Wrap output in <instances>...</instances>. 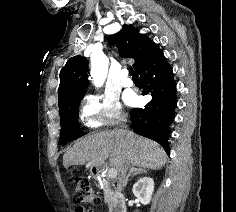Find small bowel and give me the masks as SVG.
I'll return each mask as SVG.
<instances>
[{
	"mask_svg": "<svg viewBox=\"0 0 236 212\" xmlns=\"http://www.w3.org/2000/svg\"><path fill=\"white\" fill-rule=\"evenodd\" d=\"M75 212H92L91 209H86L85 205H80Z\"/></svg>",
	"mask_w": 236,
	"mask_h": 212,
	"instance_id": "small-bowel-1",
	"label": "small bowel"
}]
</instances>
